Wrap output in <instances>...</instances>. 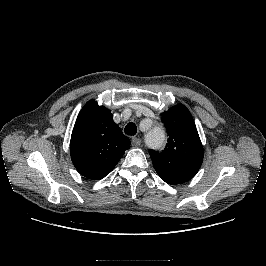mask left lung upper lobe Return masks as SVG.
Masks as SVG:
<instances>
[{
  "label": "left lung upper lobe",
  "instance_id": "1",
  "mask_svg": "<svg viewBox=\"0 0 266 266\" xmlns=\"http://www.w3.org/2000/svg\"><path fill=\"white\" fill-rule=\"evenodd\" d=\"M168 143L162 152L149 150L153 166L166 183L182 184L192 179L203 161V146L189 110L178 104L162 113Z\"/></svg>",
  "mask_w": 266,
  "mask_h": 266
}]
</instances>
